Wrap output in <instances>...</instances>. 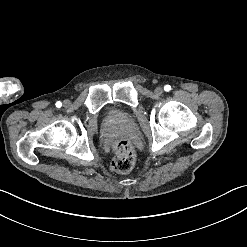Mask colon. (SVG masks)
<instances>
[{"mask_svg": "<svg viewBox=\"0 0 247 247\" xmlns=\"http://www.w3.org/2000/svg\"><path fill=\"white\" fill-rule=\"evenodd\" d=\"M116 156L111 163V170L118 174L129 172L136 164V153L133 146L125 140L115 145Z\"/></svg>", "mask_w": 247, "mask_h": 247, "instance_id": "obj_1", "label": "colon"}]
</instances>
